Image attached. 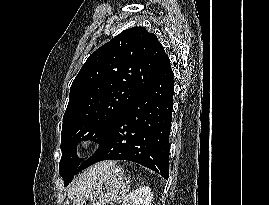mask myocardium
I'll use <instances>...</instances> for the list:
<instances>
[{
	"mask_svg": "<svg viewBox=\"0 0 269 205\" xmlns=\"http://www.w3.org/2000/svg\"><path fill=\"white\" fill-rule=\"evenodd\" d=\"M98 139L90 134L82 136L75 144V151L77 153H86L98 146Z\"/></svg>",
	"mask_w": 269,
	"mask_h": 205,
	"instance_id": "1",
	"label": "myocardium"
}]
</instances>
